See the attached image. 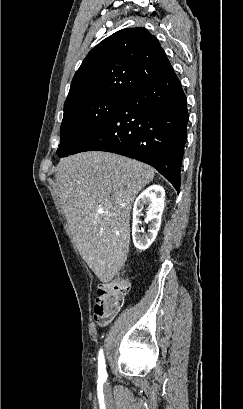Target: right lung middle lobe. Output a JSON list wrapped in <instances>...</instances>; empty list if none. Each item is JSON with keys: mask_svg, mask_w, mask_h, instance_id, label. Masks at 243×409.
Masks as SVG:
<instances>
[{"mask_svg": "<svg viewBox=\"0 0 243 409\" xmlns=\"http://www.w3.org/2000/svg\"><path fill=\"white\" fill-rule=\"evenodd\" d=\"M126 97L98 98L64 107L60 128L59 157L68 156L76 147L100 131L118 112Z\"/></svg>", "mask_w": 243, "mask_h": 409, "instance_id": "1", "label": "right lung middle lobe"}]
</instances>
